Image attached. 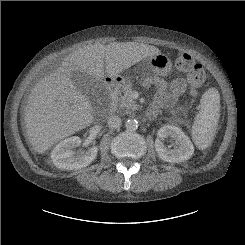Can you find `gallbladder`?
Instances as JSON below:
<instances>
[{"instance_id": "bac80fb5", "label": "gallbladder", "mask_w": 245, "mask_h": 245, "mask_svg": "<svg viewBox=\"0 0 245 245\" xmlns=\"http://www.w3.org/2000/svg\"><path fill=\"white\" fill-rule=\"evenodd\" d=\"M72 79L76 89L90 98L91 102L93 103H95L103 94L101 83L84 72L73 71Z\"/></svg>"}]
</instances>
